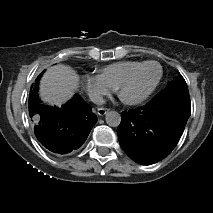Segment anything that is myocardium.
<instances>
[{
    "label": "myocardium",
    "mask_w": 213,
    "mask_h": 213,
    "mask_svg": "<svg viewBox=\"0 0 213 213\" xmlns=\"http://www.w3.org/2000/svg\"><path fill=\"white\" fill-rule=\"evenodd\" d=\"M149 64H153L155 66H157L158 68V77L154 83V85L152 86V88L142 97H139L137 99H126L123 96V89L124 87L133 79V77L135 76V74L144 66L149 65ZM163 76V70L161 65L156 62V61H144L141 62L140 64H138L135 68H133L119 83L118 87H117V93L119 98L127 105H139L141 103H143L144 101H146L153 93L154 91L157 89V87L159 86L161 79Z\"/></svg>",
    "instance_id": "myocardium-1"
}]
</instances>
